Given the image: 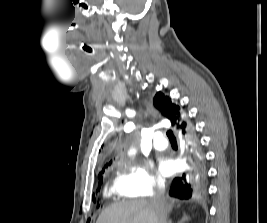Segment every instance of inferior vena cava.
I'll list each match as a JSON object with an SVG mask.
<instances>
[{"label":"inferior vena cava","instance_id":"inferior-vena-cava-1","mask_svg":"<svg viewBox=\"0 0 267 223\" xmlns=\"http://www.w3.org/2000/svg\"><path fill=\"white\" fill-rule=\"evenodd\" d=\"M151 202L159 212L158 223H167L168 206L165 197V185L160 184L157 186Z\"/></svg>","mask_w":267,"mask_h":223}]
</instances>
